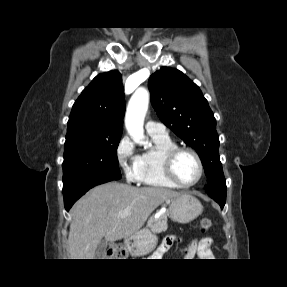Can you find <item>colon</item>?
I'll return each instance as SVG.
<instances>
[{"instance_id": "colon-1", "label": "colon", "mask_w": 287, "mask_h": 287, "mask_svg": "<svg viewBox=\"0 0 287 287\" xmlns=\"http://www.w3.org/2000/svg\"><path fill=\"white\" fill-rule=\"evenodd\" d=\"M212 226L210 218L204 217L200 220V230L201 232H207ZM112 257H122L125 255V250L121 247L115 248L110 252Z\"/></svg>"}]
</instances>
